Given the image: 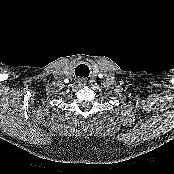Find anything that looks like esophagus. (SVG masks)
<instances>
[{"mask_svg": "<svg viewBox=\"0 0 174 174\" xmlns=\"http://www.w3.org/2000/svg\"><path fill=\"white\" fill-rule=\"evenodd\" d=\"M78 82L80 85H84L86 83V80L84 78H80Z\"/></svg>", "mask_w": 174, "mask_h": 174, "instance_id": "1", "label": "esophagus"}]
</instances>
